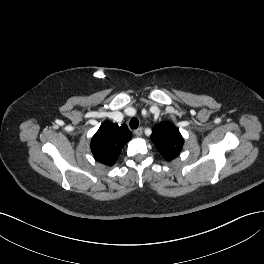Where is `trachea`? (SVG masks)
Returning <instances> with one entry per match:
<instances>
[{
	"label": "trachea",
	"mask_w": 264,
	"mask_h": 264,
	"mask_svg": "<svg viewBox=\"0 0 264 264\" xmlns=\"http://www.w3.org/2000/svg\"><path fill=\"white\" fill-rule=\"evenodd\" d=\"M138 126H139L138 119L136 117L131 118V120H130V127L132 129H136V128H138Z\"/></svg>",
	"instance_id": "obj_1"
}]
</instances>
